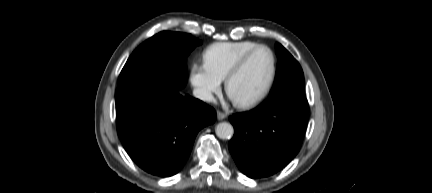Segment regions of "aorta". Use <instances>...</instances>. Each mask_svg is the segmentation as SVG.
<instances>
[{
  "mask_svg": "<svg viewBox=\"0 0 432 193\" xmlns=\"http://www.w3.org/2000/svg\"><path fill=\"white\" fill-rule=\"evenodd\" d=\"M215 132L220 139H230L234 134V128L228 122H221L217 124Z\"/></svg>",
  "mask_w": 432,
  "mask_h": 193,
  "instance_id": "obj_1",
  "label": "aorta"
}]
</instances>
